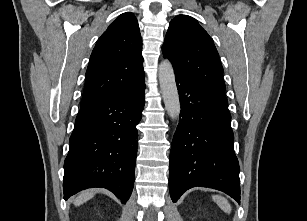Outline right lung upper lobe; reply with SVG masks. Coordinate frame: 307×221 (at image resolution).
<instances>
[{"mask_svg": "<svg viewBox=\"0 0 307 221\" xmlns=\"http://www.w3.org/2000/svg\"><path fill=\"white\" fill-rule=\"evenodd\" d=\"M142 39L136 17L121 14L101 35L86 71L81 107L127 91L144 80Z\"/></svg>", "mask_w": 307, "mask_h": 221, "instance_id": "right-lung-upper-lobe-1", "label": "right lung upper lobe"}]
</instances>
